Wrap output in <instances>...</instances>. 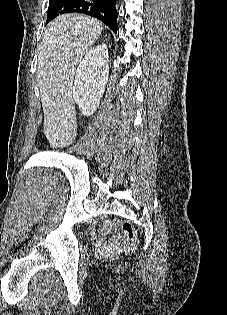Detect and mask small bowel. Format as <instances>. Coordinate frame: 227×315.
I'll return each mask as SVG.
<instances>
[{
    "instance_id": "obj_1",
    "label": "small bowel",
    "mask_w": 227,
    "mask_h": 315,
    "mask_svg": "<svg viewBox=\"0 0 227 315\" xmlns=\"http://www.w3.org/2000/svg\"><path fill=\"white\" fill-rule=\"evenodd\" d=\"M116 227H117L116 223H114V222L108 223L101 228V233L103 235H107L111 232V230L116 229ZM118 242L119 241H118L117 237L111 236L108 239L100 241L98 246L101 249L112 250L118 246Z\"/></svg>"
}]
</instances>
